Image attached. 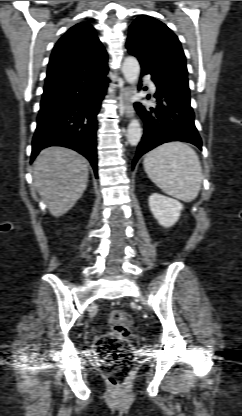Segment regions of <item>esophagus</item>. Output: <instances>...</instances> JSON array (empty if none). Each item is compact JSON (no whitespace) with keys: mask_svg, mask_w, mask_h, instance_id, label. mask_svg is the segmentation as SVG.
<instances>
[{"mask_svg":"<svg viewBox=\"0 0 242 416\" xmlns=\"http://www.w3.org/2000/svg\"><path fill=\"white\" fill-rule=\"evenodd\" d=\"M132 93H133V89L131 87H126L123 90V94H122V104H123L122 112L127 118H132L134 115V108L131 102Z\"/></svg>","mask_w":242,"mask_h":416,"instance_id":"esophagus-1","label":"esophagus"}]
</instances>
